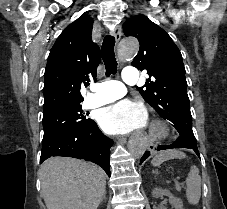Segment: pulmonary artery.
I'll return each instance as SVG.
<instances>
[{"instance_id":"obj_1","label":"pulmonary artery","mask_w":227,"mask_h":209,"mask_svg":"<svg viewBox=\"0 0 227 209\" xmlns=\"http://www.w3.org/2000/svg\"><path fill=\"white\" fill-rule=\"evenodd\" d=\"M139 70H134V66H125L123 71V82L125 84H113L112 82H95V87H90L89 91L85 92V104L89 107L102 106L112 101H115L126 94L127 84L136 82ZM100 92V93H96Z\"/></svg>"}]
</instances>
